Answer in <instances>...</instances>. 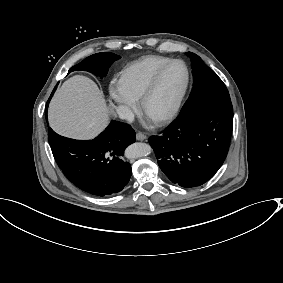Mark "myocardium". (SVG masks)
Returning a JSON list of instances; mask_svg holds the SVG:
<instances>
[{
	"label": "myocardium",
	"instance_id": "1",
	"mask_svg": "<svg viewBox=\"0 0 283 283\" xmlns=\"http://www.w3.org/2000/svg\"><path fill=\"white\" fill-rule=\"evenodd\" d=\"M182 64L185 68V72H186V79H185V83L184 86L180 92V94L178 95L173 107L164 115L154 119L156 122L158 123H163L166 121H169L171 119H173L177 113L179 112L181 106H182V102L185 98V95L188 91L189 85H190V79H191V74H190V69L188 67V65L183 61V60H179V59H174L171 60L167 63H165L164 65H162L160 68H158L149 78L146 87L140 97V107L141 110L144 112L146 103L148 102V100L151 98V96L154 93V90L156 88V85L158 83V80L160 79V77L162 76V74L173 64Z\"/></svg>",
	"mask_w": 283,
	"mask_h": 283
}]
</instances>
